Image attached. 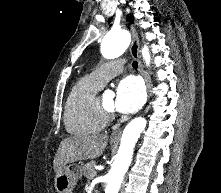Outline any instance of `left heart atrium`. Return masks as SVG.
Here are the masks:
<instances>
[{
    "label": "left heart atrium",
    "instance_id": "obj_1",
    "mask_svg": "<svg viewBox=\"0 0 221 193\" xmlns=\"http://www.w3.org/2000/svg\"><path fill=\"white\" fill-rule=\"evenodd\" d=\"M145 101V89L141 80L135 76L121 79L116 88L114 107L120 113H134Z\"/></svg>",
    "mask_w": 221,
    "mask_h": 193
}]
</instances>
